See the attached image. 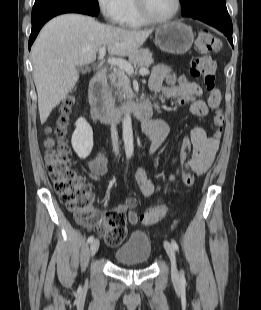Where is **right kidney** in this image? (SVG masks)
Here are the masks:
<instances>
[{
    "instance_id": "right-kidney-1",
    "label": "right kidney",
    "mask_w": 261,
    "mask_h": 310,
    "mask_svg": "<svg viewBox=\"0 0 261 310\" xmlns=\"http://www.w3.org/2000/svg\"><path fill=\"white\" fill-rule=\"evenodd\" d=\"M75 125L76 129L71 139L72 147L79 158L85 159L93 148V131L90 124L82 117Z\"/></svg>"
}]
</instances>
